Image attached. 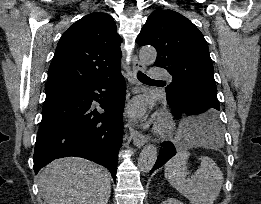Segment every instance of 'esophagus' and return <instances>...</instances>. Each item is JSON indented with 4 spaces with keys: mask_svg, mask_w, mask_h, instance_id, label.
Instances as JSON below:
<instances>
[{
    "mask_svg": "<svg viewBox=\"0 0 261 204\" xmlns=\"http://www.w3.org/2000/svg\"><path fill=\"white\" fill-rule=\"evenodd\" d=\"M139 71H145V66L139 61L136 55H133L132 75L135 82H137V74ZM131 135L134 145L138 148L142 147L147 142V137L138 130L133 129Z\"/></svg>",
    "mask_w": 261,
    "mask_h": 204,
    "instance_id": "obj_1",
    "label": "esophagus"
}]
</instances>
